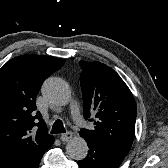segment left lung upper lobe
<instances>
[{
    "label": "left lung upper lobe",
    "mask_w": 168,
    "mask_h": 168,
    "mask_svg": "<svg viewBox=\"0 0 168 168\" xmlns=\"http://www.w3.org/2000/svg\"><path fill=\"white\" fill-rule=\"evenodd\" d=\"M79 64L84 117L86 120L91 115L96 118L95 129H81V137L127 155L133 143L137 115L131 91L107 65L97 61H80Z\"/></svg>",
    "instance_id": "1"
}]
</instances>
